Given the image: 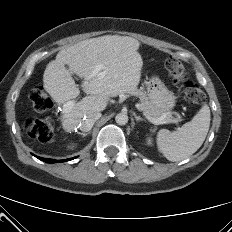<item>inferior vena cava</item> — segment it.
<instances>
[{
    "label": "inferior vena cava",
    "mask_w": 232,
    "mask_h": 232,
    "mask_svg": "<svg viewBox=\"0 0 232 232\" xmlns=\"http://www.w3.org/2000/svg\"><path fill=\"white\" fill-rule=\"evenodd\" d=\"M101 117L100 112L91 113L85 116L80 122L79 128L81 131L87 132L90 131L94 123Z\"/></svg>",
    "instance_id": "602c4592"
}]
</instances>
